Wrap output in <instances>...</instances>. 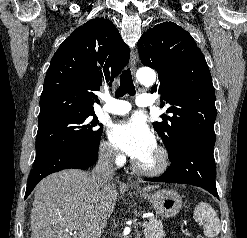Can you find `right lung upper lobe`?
<instances>
[{
  "label": "right lung upper lobe",
  "mask_w": 247,
  "mask_h": 238,
  "mask_svg": "<svg viewBox=\"0 0 247 238\" xmlns=\"http://www.w3.org/2000/svg\"><path fill=\"white\" fill-rule=\"evenodd\" d=\"M129 47L114 24L105 18L89 20L74 30L51 59L40 97L38 122L94 113L98 91L129 61Z\"/></svg>",
  "instance_id": "obj_1"
}]
</instances>
